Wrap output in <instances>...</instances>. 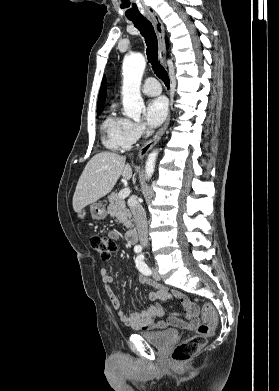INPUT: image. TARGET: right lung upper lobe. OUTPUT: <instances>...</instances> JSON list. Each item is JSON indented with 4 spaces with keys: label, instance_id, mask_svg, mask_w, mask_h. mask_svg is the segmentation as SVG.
<instances>
[{
    "label": "right lung upper lobe",
    "instance_id": "obj_1",
    "mask_svg": "<svg viewBox=\"0 0 279 391\" xmlns=\"http://www.w3.org/2000/svg\"><path fill=\"white\" fill-rule=\"evenodd\" d=\"M167 47H168V41L166 39ZM105 97H106V80L105 78L102 81L99 96H98V105L97 109L103 108V104L105 102Z\"/></svg>",
    "mask_w": 279,
    "mask_h": 391
}]
</instances>
